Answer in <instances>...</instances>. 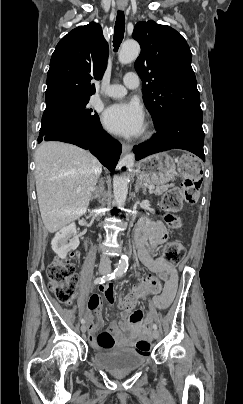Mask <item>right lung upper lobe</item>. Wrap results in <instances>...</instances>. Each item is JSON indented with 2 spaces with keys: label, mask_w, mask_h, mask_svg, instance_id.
<instances>
[{
  "label": "right lung upper lobe",
  "mask_w": 243,
  "mask_h": 404,
  "mask_svg": "<svg viewBox=\"0 0 243 404\" xmlns=\"http://www.w3.org/2000/svg\"><path fill=\"white\" fill-rule=\"evenodd\" d=\"M107 57L108 44L99 24L91 22L70 31L59 41L51 57L46 104L94 94L91 80L103 77Z\"/></svg>",
  "instance_id": "1"
}]
</instances>
